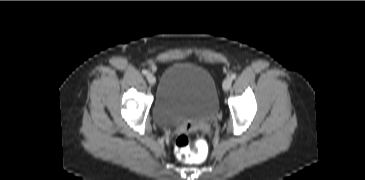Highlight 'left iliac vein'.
<instances>
[{
    "label": "left iliac vein",
    "mask_w": 365,
    "mask_h": 180,
    "mask_svg": "<svg viewBox=\"0 0 365 180\" xmlns=\"http://www.w3.org/2000/svg\"><path fill=\"white\" fill-rule=\"evenodd\" d=\"M232 84V78L227 77L223 82V89L224 91H228Z\"/></svg>",
    "instance_id": "1"
}]
</instances>
